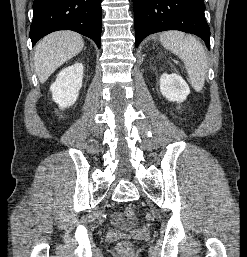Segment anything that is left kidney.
<instances>
[{"instance_id":"obj_1","label":"left kidney","mask_w":247,"mask_h":257,"mask_svg":"<svg viewBox=\"0 0 247 257\" xmlns=\"http://www.w3.org/2000/svg\"><path fill=\"white\" fill-rule=\"evenodd\" d=\"M161 94L170 102H183L190 93L189 86L177 74H163L160 77Z\"/></svg>"}]
</instances>
